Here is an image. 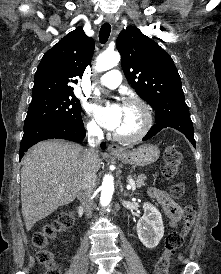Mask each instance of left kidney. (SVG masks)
<instances>
[{"label":"left kidney","instance_id":"left-kidney-1","mask_svg":"<svg viewBox=\"0 0 221 274\" xmlns=\"http://www.w3.org/2000/svg\"><path fill=\"white\" fill-rule=\"evenodd\" d=\"M144 214L137 223L139 240L146 248H155L164 236L162 215L150 203L143 204Z\"/></svg>","mask_w":221,"mask_h":274}]
</instances>
